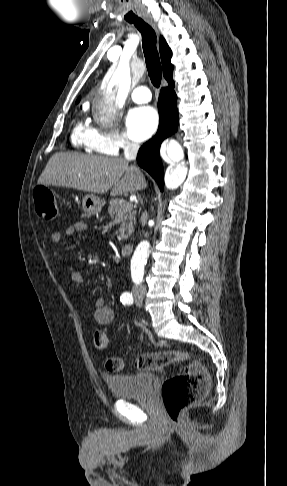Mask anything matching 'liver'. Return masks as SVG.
Returning <instances> with one entry per match:
<instances>
[{"instance_id":"liver-1","label":"liver","mask_w":287,"mask_h":486,"mask_svg":"<svg viewBox=\"0 0 287 486\" xmlns=\"http://www.w3.org/2000/svg\"><path fill=\"white\" fill-rule=\"evenodd\" d=\"M38 184L74 188L112 196L147 187L143 173L126 159L56 153L48 161Z\"/></svg>"}]
</instances>
